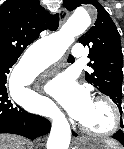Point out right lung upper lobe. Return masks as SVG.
Instances as JSON below:
<instances>
[{"label": "right lung upper lobe", "mask_w": 124, "mask_h": 149, "mask_svg": "<svg viewBox=\"0 0 124 149\" xmlns=\"http://www.w3.org/2000/svg\"><path fill=\"white\" fill-rule=\"evenodd\" d=\"M58 25L59 15H49L39 0H6L0 6V60L18 59L42 31Z\"/></svg>", "instance_id": "obj_1"}]
</instances>
